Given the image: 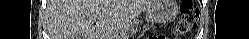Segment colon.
I'll use <instances>...</instances> for the list:
<instances>
[{"mask_svg": "<svg viewBox=\"0 0 249 39\" xmlns=\"http://www.w3.org/2000/svg\"><path fill=\"white\" fill-rule=\"evenodd\" d=\"M199 12L192 1H184L180 5V17L175 27V33L178 36L190 34L198 21Z\"/></svg>", "mask_w": 249, "mask_h": 39, "instance_id": "5ec220e1", "label": "colon"}]
</instances>
